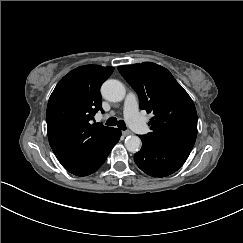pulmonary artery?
<instances>
[{"label":"pulmonary artery","mask_w":243,"mask_h":243,"mask_svg":"<svg viewBox=\"0 0 243 243\" xmlns=\"http://www.w3.org/2000/svg\"><path fill=\"white\" fill-rule=\"evenodd\" d=\"M123 114L125 119L137 116L139 114L138 96L133 91H128L123 104ZM97 119H102L101 114H97Z\"/></svg>","instance_id":"1"}]
</instances>
